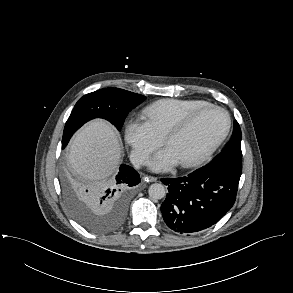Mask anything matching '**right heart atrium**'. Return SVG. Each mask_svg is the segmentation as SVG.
<instances>
[{
  "label": "right heart atrium",
  "mask_w": 293,
  "mask_h": 293,
  "mask_svg": "<svg viewBox=\"0 0 293 293\" xmlns=\"http://www.w3.org/2000/svg\"><path fill=\"white\" fill-rule=\"evenodd\" d=\"M124 138L131 148V157L135 164H142L163 141V138L148 121L139 116L127 119L124 127Z\"/></svg>",
  "instance_id": "obj_1"
}]
</instances>
